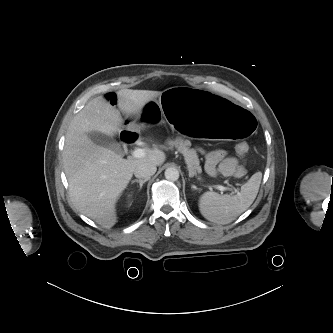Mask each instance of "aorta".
I'll use <instances>...</instances> for the list:
<instances>
[{"label":"aorta","mask_w":333,"mask_h":333,"mask_svg":"<svg viewBox=\"0 0 333 333\" xmlns=\"http://www.w3.org/2000/svg\"><path fill=\"white\" fill-rule=\"evenodd\" d=\"M165 178L169 181H176L179 178V171L174 167L165 170Z\"/></svg>","instance_id":"aorta-1"}]
</instances>
